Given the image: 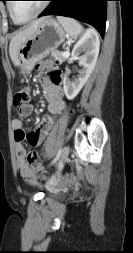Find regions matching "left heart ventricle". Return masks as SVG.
<instances>
[{
    "label": "left heart ventricle",
    "instance_id": "1",
    "mask_svg": "<svg viewBox=\"0 0 133 253\" xmlns=\"http://www.w3.org/2000/svg\"><path fill=\"white\" fill-rule=\"evenodd\" d=\"M42 5V1H13L11 3L14 16L24 20L33 15Z\"/></svg>",
    "mask_w": 133,
    "mask_h": 253
}]
</instances>
